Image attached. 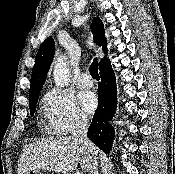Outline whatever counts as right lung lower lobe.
Wrapping results in <instances>:
<instances>
[{
  "mask_svg": "<svg viewBox=\"0 0 175 174\" xmlns=\"http://www.w3.org/2000/svg\"><path fill=\"white\" fill-rule=\"evenodd\" d=\"M100 76L99 106L95 111L87 136L104 152L109 153L114 138V129L109 121L114 116L117 102L115 75L109 60L100 67Z\"/></svg>",
  "mask_w": 175,
  "mask_h": 174,
  "instance_id": "right-lung-lower-lobe-1",
  "label": "right lung lower lobe"
}]
</instances>
